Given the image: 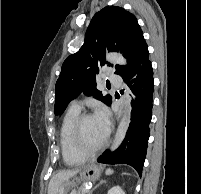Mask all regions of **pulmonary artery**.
Wrapping results in <instances>:
<instances>
[{"label":"pulmonary artery","instance_id":"e3ab8cb5","mask_svg":"<svg viewBox=\"0 0 201 194\" xmlns=\"http://www.w3.org/2000/svg\"><path fill=\"white\" fill-rule=\"evenodd\" d=\"M108 80L110 81V83H112L116 87H121V85H122V79H121V77L119 75L110 74L108 76ZM71 107L76 108V109H80L81 105H80V103L78 101H73L71 103Z\"/></svg>","mask_w":201,"mask_h":194}]
</instances>
